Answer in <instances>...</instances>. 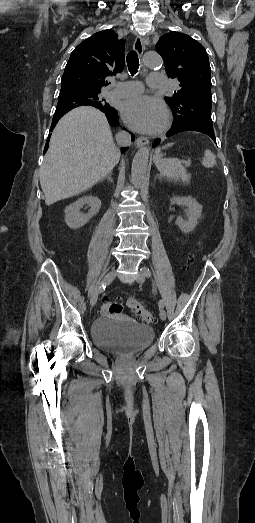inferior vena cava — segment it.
<instances>
[{
    "instance_id": "obj_1",
    "label": "inferior vena cava",
    "mask_w": 255,
    "mask_h": 523,
    "mask_svg": "<svg viewBox=\"0 0 255 523\" xmlns=\"http://www.w3.org/2000/svg\"><path fill=\"white\" fill-rule=\"evenodd\" d=\"M116 142L118 144V146H130L131 144V138H130V134H128V132H118L117 136H116Z\"/></svg>"
}]
</instances>
